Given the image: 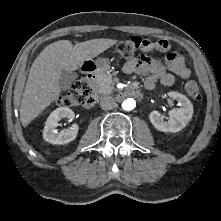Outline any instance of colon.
<instances>
[{"instance_id": "5ec220e1", "label": "colon", "mask_w": 221, "mask_h": 221, "mask_svg": "<svg viewBox=\"0 0 221 221\" xmlns=\"http://www.w3.org/2000/svg\"><path fill=\"white\" fill-rule=\"evenodd\" d=\"M146 45V40L134 36L130 39L121 41L117 46V52L126 59L133 58L139 49ZM92 89L91 81L87 78H81L75 82L73 89L58 99V104L65 107L84 104ZM187 94L194 100H201L202 93L197 82L190 80L185 84Z\"/></svg>"}]
</instances>
